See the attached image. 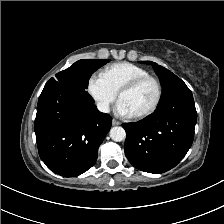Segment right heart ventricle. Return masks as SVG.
<instances>
[{
  "instance_id": "1",
  "label": "right heart ventricle",
  "mask_w": 224,
  "mask_h": 224,
  "mask_svg": "<svg viewBox=\"0 0 224 224\" xmlns=\"http://www.w3.org/2000/svg\"><path fill=\"white\" fill-rule=\"evenodd\" d=\"M148 71L138 65L129 62H118L107 66L101 76L109 87L117 93L128 81L138 76L148 75Z\"/></svg>"
}]
</instances>
